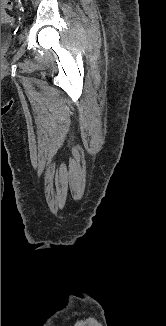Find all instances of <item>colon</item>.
I'll return each mask as SVG.
<instances>
[{"label":"colon","instance_id":"colon-1","mask_svg":"<svg viewBox=\"0 0 166 326\" xmlns=\"http://www.w3.org/2000/svg\"><path fill=\"white\" fill-rule=\"evenodd\" d=\"M13 6L11 0H1V7L11 9Z\"/></svg>","mask_w":166,"mask_h":326}]
</instances>
